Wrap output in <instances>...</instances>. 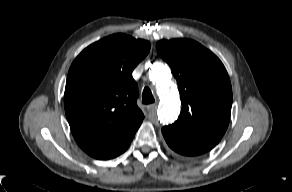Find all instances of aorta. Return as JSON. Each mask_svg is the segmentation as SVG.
<instances>
[{
	"mask_svg": "<svg viewBox=\"0 0 292 192\" xmlns=\"http://www.w3.org/2000/svg\"><path fill=\"white\" fill-rule=\"evenodd\" d=\"M149 78L157 86L161 97L158 119L164 124L172 123L180 113V98L177 89L171 83V71L161 62L150 66Z\"/></svg>",
	"mask_w": 292,
	"mask_h": 192,
	"instance_id": "762f6f07",
	"label": "aorta"
}]
</instances>
